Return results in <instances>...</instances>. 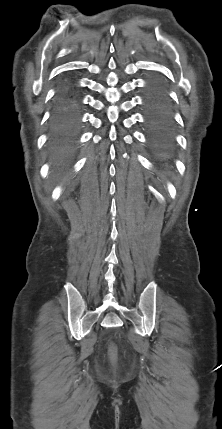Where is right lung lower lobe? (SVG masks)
Returning <instances> with one entry per match:
<instances>
[{
	"label": "right lung lower lobe",
	"instance_id": "obj_1",
	"mask_svg": "<svg viewBox=\"0 0 222 429\" xmlns=\"http://www.w3.org/2000/svg\"><path fill=\"white\" fill-rule=\"evenodd\" d=\"M52 126L67 134H73L79 124V109L74 85L71 80L61 78L56 84V95L53 100Z\"/></svg>",
	"mask_w": 222,
	"mask_h": 429
}]
</instances>
